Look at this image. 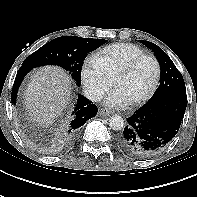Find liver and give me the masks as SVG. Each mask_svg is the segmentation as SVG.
<instances>
[{
  "mask_svg": "<svg viewBox=\"0 0 197 197\" xmlns=\"http://www.w3.org/2000/svg\"><path fill=\"white\" fill-rule=\"evenodd\" d=\"M71 96V81L57 66H44L31 76L24 98L31 120L49 126L66 107Z\"/></svg>",
  "mask_w": 197,
  "mask_h": 197,
  "instance_id": "obj_1",
  "label": "liver"
}]
</instances>
